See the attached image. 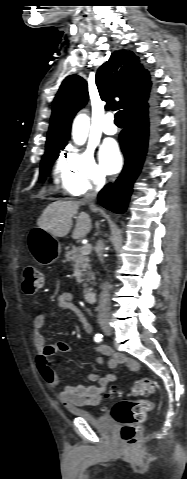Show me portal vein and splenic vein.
I'll list each match as a JSON object with an SVG mask.
<instances>
[{"label": "portal vein and splenic vein", "mask_w": 187, "mask_h": 479, "mask_svg": "<svg viewBox=\"0 0 187 479\" xmlns=\"http://www.w3.org/2000/svg\"><path fill=\"white\" fill-rule=\"evenodd\" d=\"M91 250H92V246L90 244H86V245L81 247L80 253L82 255H88V254L91 253Z\"/></svg>", "instance_id": "portal-vein-and-splenic-vein-1"}]
</instances>
